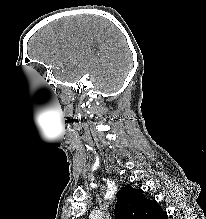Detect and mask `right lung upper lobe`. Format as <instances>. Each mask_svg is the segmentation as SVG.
<instances>
[{
	"label": "right lung upper lobe",
	"mask_w": 206,
	"mask_h": 219,
	"mask_svg": "<svg viewBox=\"0 0 206 219\" xmlns=\"http://www.w3.org/2000/svg\"><path fill=\"white\" fill-rule=\"evenodd\" d=\"M115 219H168L156 200L145 198L140 189L125 186L117 193Z\"/></svg>",
	"instance_id": "1"
}]
</instances>
